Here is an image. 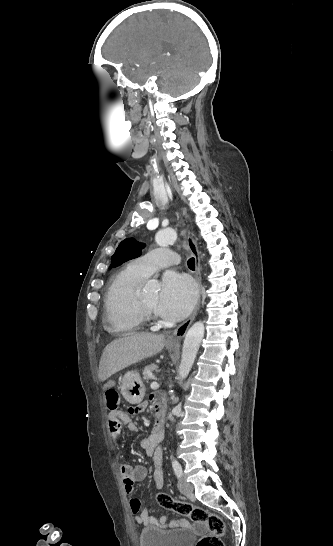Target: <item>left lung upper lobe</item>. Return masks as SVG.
<instances>
[{
  "instance_id": "1",
  "label": "left lung upper lobe",
  "mask_w": 333,
  "mask_h": 546,
  "mask_svg": "<svg viewBox=\"0 0 333 546\" xmlns=\"http://www.w3.org/2000/svg\"><path fill=\"white\" fill-rule=\"evenodd\" d=\"M144 247V244L137 242L133 238L123 240L111 257V266L116 267L125 261L139 257Z\"/></svg>"
}]
</instances>
